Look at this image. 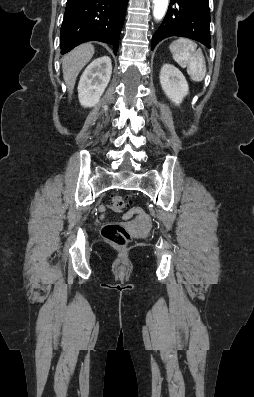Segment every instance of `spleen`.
Wrapping results in <instances>:
<instances>
[{"label": "spleen", "mask_w": 254, "mask_h": 397, "mask_svg": "<svg viewBox=\"0 0 254 397\" xmlns=\"http://www.w3.org/2000/svg\"><path fill=\"white\" fill-rule=\"evenodd\" d=\"M174 60L183 68L193 81L201 82L206 75V63L203 52L190 39L180 38L169 46Z\"/></svg>", "instance_id": "3e777b00"}]
</instances>
